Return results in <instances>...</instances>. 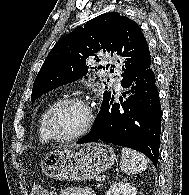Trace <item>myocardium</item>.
<instances>
[{"instance_id":"myocardium-1","label":"myocardium","mask_w":189,"mask_h":195,"mask_svg":"<svg viewBox=\"0 0 189 195\" xmlns=\"http://www.w3.org/2000/svg\"><path fill=\"white\" fill-rule=\"evenodd\" d=\"M72 103L81 105L82 107L85 108V110L87 112L86 123H85L84 127L79 132H77L73 135H69V136H60V135L56 134V132L53 129V126H52L53 117L59 108H61L62 106L66 105V104H72ZM94 121H95V113H94V110H93L91 104L86 99H84L82 97L71 96V97H66V98H63V99L56 101L50 107V109L48 110L46 117H45V129H46L48 136L51 138V140H54L57 142H71V141H74V140L79 139V138L83 137L84 135H86L90 131Z\"/></svg>"}]
</instances>
